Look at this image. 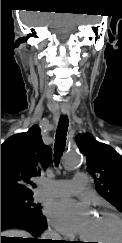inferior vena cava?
Listing matches in <instances>:
<instances>
[{"instance_id": "inferior-vena-cava-1", "label": "inferior vena cava", "mask_w": 122, "mask_h": 243, "mask_svg": "<svg viewBox=\"0 0 122 243\" xmlns=\"http://www.w3.org/2000/svg\"><path fill=\"white\" fill-rule=\"evenodd\" d=\"M43 239H52V240H58L59 239V235L55 232H53L52 230H46L43 235H42Z\"/></svg>"}]
</instances>
